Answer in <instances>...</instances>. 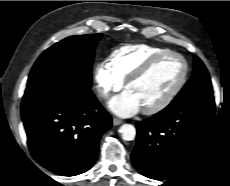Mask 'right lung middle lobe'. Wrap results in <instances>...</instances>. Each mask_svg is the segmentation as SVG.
<instances>
[{
  "mask_svg": "<svg viewBox=\"0 0 230 186\" xmlns=\"http://www.w3.org/2000/svg\"><path fill=\"white\" fill-rule=\"evenodd\" d=\"M101 37L102 34L70 36L52 45L35 62L27 88L62 79L90 89L94 49Z\"/></svg>",
  "mask_w": 230,
  "mask_h": 186,
  "instance_id": "right-lung-middle-lobe-1",
  "label": "right lung middle lobe"
}]
</instances>
